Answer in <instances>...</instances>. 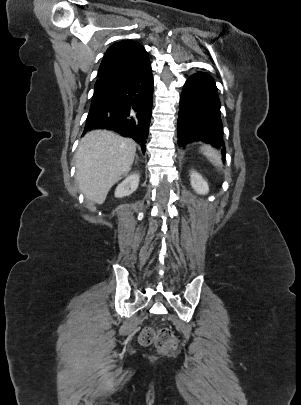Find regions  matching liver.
<instances>
[{
    "label": "liver",
    "instance_id": "obj_1",
    "mask_svg": "<svg viewBox=\"0 0 301 405\" xmlns=\"http://www.w3.org/2000/svg\"><path fill=\"white\" fill-rule=\"evenodd\" d=\"M136 154V143L130 138L95 130L80 141L76 152V180L85 197L102 204L110 189L126 175Z\"/></svg>",
    "mask_w": 301,
    "mask_h": 405
}]
</instances>
